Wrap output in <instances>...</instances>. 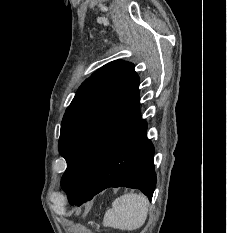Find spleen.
Returning <instances> with one entry per match:
<instances>
[{"label": "spleen", "instance_id": "obj_1", "mask_svg": "<svg viewBox=\"0 0 227 233\" xmlns=\"http://www.w3.org/2000/svg\"><path fill=\"white\" fill-rule=\"evenodd\" d=\"M148 199L142 194L127 193L114 200L104 215L103 224L120 230L139 229L146 221Z\"/></svg>", "mask_w": 227, "mask_h": 233}]
</instances>
